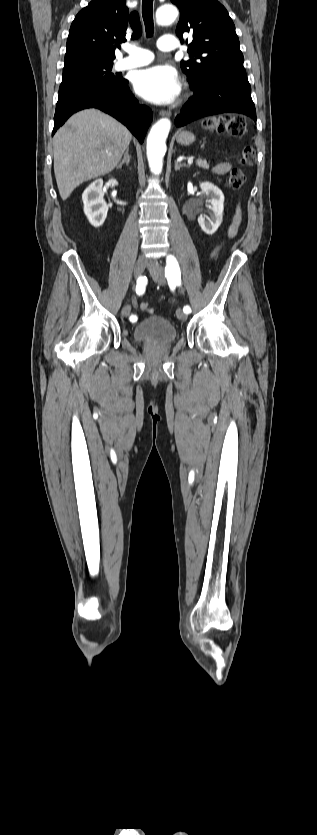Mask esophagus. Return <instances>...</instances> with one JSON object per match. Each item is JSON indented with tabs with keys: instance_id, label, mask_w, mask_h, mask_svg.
<instances>
[{
	"instance_id": "obj_1",
	"label": "esophagus",
	"mask_w": 317,
	"mask_h": 835,
	"mask_svg": "<svg viewBox=\"0 0 317 835\" xmlns=\"http://www.w3.org/2000/svg\"><path fill=\"white\" fill-rule=\"evenodd\" d=\"M159 114H160L161 116H166V117H170V116H171V112H170V111H166V110H162V111H160V113H159Z\"/></svg>"
}]
</instances>
